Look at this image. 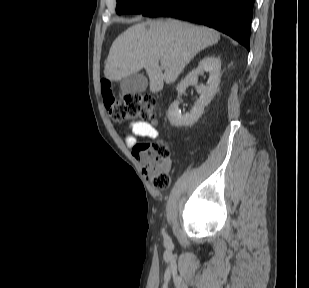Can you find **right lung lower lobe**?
Here are the masks:
<instances>
[{"instance_id":"obj_1","label":"right lung lower lobe","mask_w":309,"mask_h":288,"mask_svg":"<svg viewBox=\"0 0 309 288\" xmlns=\"http://www.w3.org/2000/svg\"><path fill=\"white\" fill-rule=\"evenodd\" d=\"M255 0H162L143 16H166L215 28L249 51L250 27Z\"/></svg>"}]
</instances>
